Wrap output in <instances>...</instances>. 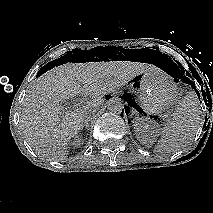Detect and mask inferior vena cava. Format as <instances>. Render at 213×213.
Returning <instances> with one entry per match:
<instances>
[{
  "mask_svg": "<svg viewBox=\"0 0 213 213\" xmlns=\"http://www.w3.org/2000/svg\"><path fill=\"white\" fill-rule=\"evenodd\" d=\"M96 111H97V108L86 106L85 113H84V121L89 122L90 120H92L95 116Z\"/></svg>",
  "mask_w": 213,
  "mask_h": 213,
  "instance_id": "1",
  "label": "inferior vena cava"
}]
</instances>
